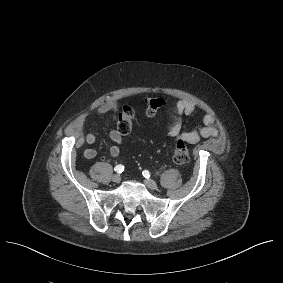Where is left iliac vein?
Returning a JSON list of instances; mask_svg holds the SVG:
<instances>
[{
  "label": "left iliac vein",
  "instance_id": "obj_1",
  "mask_svg": "<svg viewBox=\"0 0 283 283\" xmlns=\"http://www.w3.org/2000/svg\"><path fill=\"white\" fill-rule=\"evenodd\" d=\"M144 182L149 189H152V190L157 189V183L154 180L146 179Z\"/></svg>",
  "mask_w": 283,
  "mask_h": 283
}]
</instances>
